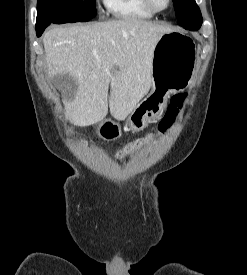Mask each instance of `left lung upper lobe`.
<instances>
[{
  "mask_svg": "<svg viewBox=\"0 0 247 275\" xmlns=\"http://www.w3.org/2000/svg\"><path fill=\"white\" fill-rule=\"evenodd\" d=\"M177 23L186 30H197L202 24V15L195 0H173Z\"/></svg>",
  "mask_w": 247,
  "mask_h": 275,
  "instance_id": "obj_1",
  "label": "left lung upper lobe"
}]
</instances>
